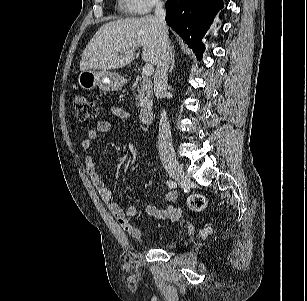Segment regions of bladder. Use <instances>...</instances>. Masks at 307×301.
<instances>
[{
  "label": "bladder",
  "instance_id": "obj_1",
  "mask_svg": "<svg viewBox=\"0 0 307 301\" xmlns=\"http://www.w3.org/2000/svg\"><path fill=\"white\" fill-rule=\"evenodd\" d=\"M173 245H174V242L173 241H169V242L165 243L164 247L165 248H171Z\"/></svg>",
  "mask_w": 307,
  "mask_h": 301
}]
</instances>
